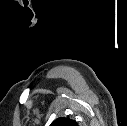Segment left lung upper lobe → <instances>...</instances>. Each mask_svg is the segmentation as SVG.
Segmentation results:
<instances>
[{
	"mask_svg": "<svg viewBox=\"0 0 127 126\" xmlns=\"http://www.w3.org/2000/svg\"><path fill=\"white\" fill-rule=\"evenodd\" d=\"M50 126H77V123L68 117H60L52 122Z\"/></svg>",
	"mask_w": 127,
	"mask_h": 126,
	"instance_id": "obj_1",
	"label": "left lung upper lobe"
}]
</instances>
